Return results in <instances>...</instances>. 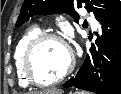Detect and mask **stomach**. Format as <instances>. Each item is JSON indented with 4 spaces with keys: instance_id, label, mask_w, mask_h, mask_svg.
<instances>
[{
    "instance_id": "stomach-1",
    "label": "stomach",
    "mask_w": 121,
    "mask_h": 94,
    "mask_svg": "<svg viewBox=\"0 0 121 94\" xmlns=\"http://www.w3.org/2000/svg\"><path fill=\"white\" fill-rule=\"evenodd\" d=\"M73 94H85V93L84 92H74Z\"/></svg>"
}]
</instances>
